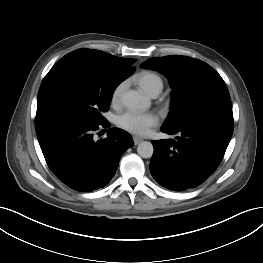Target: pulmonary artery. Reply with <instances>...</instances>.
Here are the masks:
<instances>
[{"label":"pulmonary artery","instance_id":"e3ab8cb5","mask_svg":"<svg viewBox=\"0 0 263 263\" xmlns=\"http://www.w3.org/2000/svg\"><path fill=\"white\" fill-rule=\"evenodd\" d=\"M160 91H161L160 89H154L152 92H150L149 95H150L151 97H154V98H155V97H157V96L159 95Z\"/></svg>","mask_w":263,"mask_h":263}]
</instances>
